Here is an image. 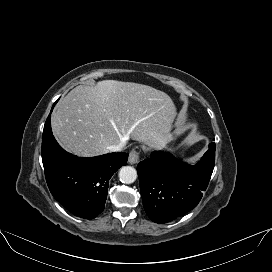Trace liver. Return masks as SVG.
Returning a JSON list of instances; mask_svg holds the SVG:
<instances>
[{
  "label": "liver",
  "instance_id": "obj_1",
  "mask_svg": "<svg viewBox=\"0 0 272 272\" xmlns=\"http://www.w3.org/2000/svg\"><path fill=\"white\" fill-rule=\"evenodd\" d=\"M176 107L165 92L153 87L116 80L95 86L79 85L57 104L52 131L68 152L93 157L129 139L152 148L173 140Z\"/></svg>",
  "mask_w": 272,
  "mask_h": 272
}]
</instances>
